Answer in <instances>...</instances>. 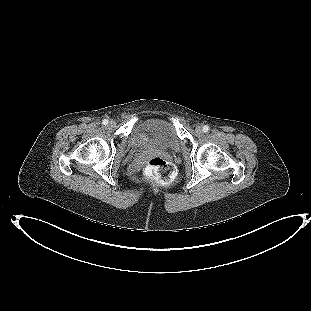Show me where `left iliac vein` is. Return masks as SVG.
Returning a JSON list of instances; mask_svg holds the SVG:
<instances>
[{
  "instance_id": "4c4485c4",
  "label": "left iliac vein",
  "mask_w": 311,
  "mask_h": 311,
  "mask_svg": "<svg viewBox=\"0 0 311 311\" xmlns=\"http://www.w3.org/2000/svg\"><path fill=\"white\" fill-rule=\"evenodd\" d=\"M195 131L197 134H202L203 133V128L202 126L198 125L196 128H195Z\"/></svg>"
}]
</instances>
